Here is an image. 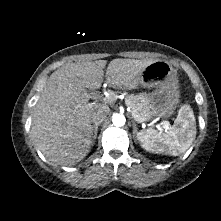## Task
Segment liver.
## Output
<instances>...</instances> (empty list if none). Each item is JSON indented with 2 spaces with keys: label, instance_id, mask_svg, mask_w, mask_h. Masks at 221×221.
<instances>
[{
  "label": "liver",
  "instance_id": "liver-1",
  "mask_svg": "<svg viewBox=\"0 0 221 221\" xmlns=\"http://www.w3.org/2000/svg\"><path fill=\"white\" fill-rule=\"evenodd\" d=\"M153 60L113 59L67 64L53 72L34 106L31 136L52 163L72 166L84 159L92 145L91 114L104 104H90L87 89L114 87L132 90ZM106 106V113L109 108Z\"/></svg>",
  "mask_w": 221,
  "mask_h": 221
}]
</instances>
